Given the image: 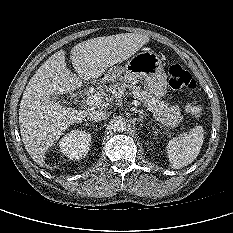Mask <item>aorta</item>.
Wrapping results in <instances>:
<instances>
[{
  "instance_id": "aorta-1",
  "label": "aorta",
  "mask_w": 233,
  "mask_h": 233,
  "mask_svg": "<svg viewBox=\"0 0 233 233\" xmlns=\"http://www.w3.org/2000/svg\"><path fill=\"white\" fill-rule=\"evenodd\" d=\"M110 125L115 132H123L127 129V120L122 116H115L111 119Z\"/></svg>"
}]
</instances>
